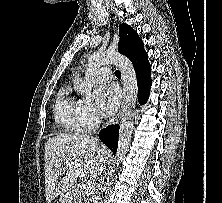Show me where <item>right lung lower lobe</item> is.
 I'll return each mask as SVG.
<instances>
[{
    "label": "right lung lower lobe",
    "instance_id": "right-lung-lower-lobe-1",
    "mask_svg": "<svg viewBox=\"0 0 222 203\" xmlns=\"http://www.w3.org/2000/svg\"><path fill=\"white\" fill-rule=\"evenodd\" d=\"M119 126L109 125L102 129L99 133L100 140L113 152L116 153L118 147Z\"/></svg>",
    "mask_w": 222,
    "mask_h": 203
}]
</instances>
